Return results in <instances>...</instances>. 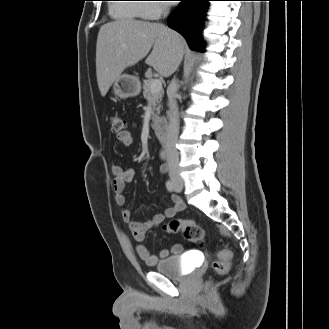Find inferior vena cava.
<instances>
[{
  "mask_svg": "<svg viewBox=\"0 0 329 329\" xmlns=\"http://www.w3.org/2000/svg\"><path fill=\"white\" fill-rule=\"evenodd\" d=\"M167 15V12L164 13V16ZM178 90V85L176 79H173L168 86L167 96L169 100V125L166 135V154L167 162L169 167V176L171 179H179V154L175 148L176 141L179 134V113L176 103V93Z\"/></svg>",
  "mask_w": 329,
  "mask_h": 329,
  "instance_id": "1",
  "label": "inferior vena cava"
}]
</instances>
